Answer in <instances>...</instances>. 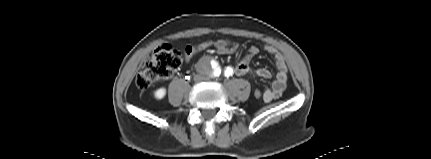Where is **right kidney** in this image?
Returning <instances> with one entry per match:
<instances>
[{"label":"right kidney","mask_w":431,"mask_h":159,"mask_svg":"<svg viewBox=\"0 0 431 159\" xmlns=\"http://www.w3.org/2000/svg\"><path fill=\"white\" fill-rule=\"evenodd\" d=\"M166 95V89L165 88H159L154 92V97L156 99H162Z\"/></svg>","instance_id":"1"}]
</instances>
